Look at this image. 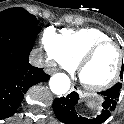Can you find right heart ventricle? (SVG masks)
<instances>
[{
    "instance_id": "1",
    "label": "right heart ventricle",
    "mask_w": 124,
    "mask_h": 124,
    "mask_svg": "<svg viewBox=\"0 0 124 124\" xmlns=\"http://www.w3.org/2000/svg\"><path fill=\"white\" fill-rule=\"evenodd\" d=\"M59 36L64 55L74 65L95 44L111 40L104 31L93 27L64 29Z\"/></svg>"
}]
</instances>
